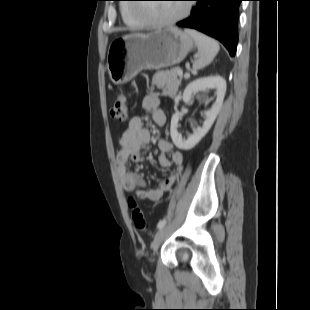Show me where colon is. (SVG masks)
<instances>
[{
    "instance_id": "obj_1",
    "label": "colon",
    "mask_w": 310,
    "mask_h": 310,
    "mask_svg": "<svg viewBox=\"0 0 310 310\" xmlns=\"http://www.w3.org/2000/svg\"><path fill=\"white\" fill-rule=\"evenodd\" d=\"M127 114H128L127 98L124 94H119L112 105L111 116L117 120H125ZM128 205L130 209L131 219L135 228L141 232H148L149 225L146 222L142 210L140 209L136 200L133 197H130L128 199Z\"/></svg>"
}]
</instances>
